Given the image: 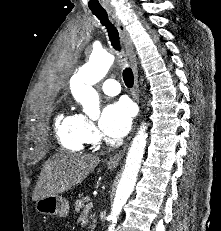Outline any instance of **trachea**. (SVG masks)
<instances>
[{
	"label": "trachea",
	"instance_id": "3493384b",
	"mask_svg": "<svg viewBox=\"0 0 221 231\" xmlns=\"http://www.w3.org/2000/svg\"><path fill=\"white\" fill-rule=\"evenodd\" d=\"M92 13L100 20L101 24L106 27L112 46L116 50L120 51L121 46H120L119 34H118L117 29L110 22L107 12L103 10V11H92ZM123 79H124L125 85L128 88H131L133 86L134 76L130 68H125L123 70Z\"/></svg>",
	"mask_w": 221,
	"mask_h": 231
}]
</instances>
